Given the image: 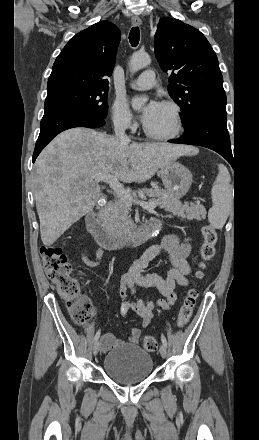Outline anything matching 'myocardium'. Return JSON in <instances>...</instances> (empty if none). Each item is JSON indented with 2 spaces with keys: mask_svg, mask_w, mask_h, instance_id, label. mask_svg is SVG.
Segmentation results:
<instances>
[{
  "mask_svg": "<svg viewBox=\"0 0 259 440\" xmlns=\"http://www.w3.org/2000/svg\"><path fill=\"white\" fill-rule=\"evenodd\" d=\"M161 105H164V106L170 108L172 111L173 122H174V126H173L172 131L168 134H165V135H159V134H155V133L151 132L146 127V125L143 126V131H144L145 135L152 140L170 141V140H173L176 137H178L182 131V128H183L182 111H181L180 106L176 102L171 101V100H164L161 102Z\"/></svg>",
  "mask_w": 259,
  "mask_h": 440,
  "instance_id": "1",
  "label": "myocardium"
}]
</instances>
